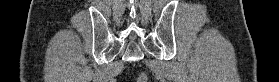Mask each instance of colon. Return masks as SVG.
Returning <instances> with one entry per match:
<instances>
[{
	"label": "colon",
	"instance_id": "obj_1",
	"mask_svg": "<svg viewBox=\"0 0 279 82\" xmlns=\"http://www.w3.org/2000/svg\"><path fill=\"white\" fill-rule=\"evenodd\" d=\"M140 79H141V81H145V79H146L145 75H142V76L140 77Z\"/></svg>",
	"mask_w": 279,
	"mask_h": 82
}]
</instances>
